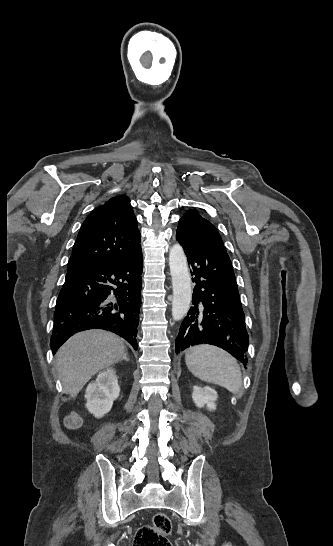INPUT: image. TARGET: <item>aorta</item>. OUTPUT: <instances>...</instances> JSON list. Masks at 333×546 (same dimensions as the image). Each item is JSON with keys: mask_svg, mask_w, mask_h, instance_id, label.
I'll return each instance as SVG.
<instances>
[{"mask_svg": "<svg viewBox=\"0 0 333 546\" xmlns=\"http://www.w3.org/2000/svg\"><path fill=\"white\" fill-rule=\"evenodd\" d=\"M169 266L173 286L172 316L179 321L186 316L192 299L187 259L179 244L170 249Z\"/></svg>", "mask_w": 333, "mask_h": 546, "instance_id": "obj_1", "label": "aorta"}]
</instances>
